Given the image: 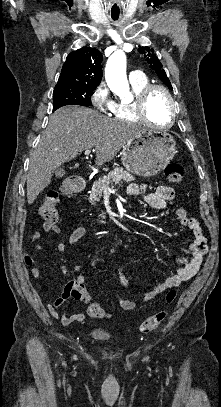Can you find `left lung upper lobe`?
Here are the masks:
<instances>
[{
    "instance_id": "1",
    "label": "left lung upper lobe",
    "mask_w": 221,
    "mask_h": 407,
    "mask_svg": "<svg viewBox=\"0 0 221 407\" xmlns=\"http://www.w3.org/2000/svg\"><path fill=\"white\" fill-rule=\"evenodd\" d=\"M138 51L144 55L147 63L150 65V68L153 69L158 77L172 90L171 83L163 69L162 64L160 63L158 57L156 56L154 50L150 47H139Z\"/></svg>"
}]
</instances>
